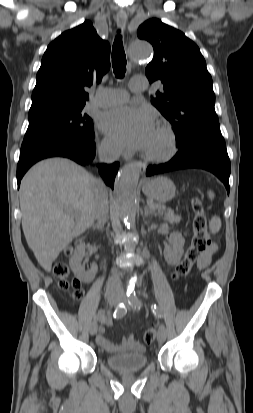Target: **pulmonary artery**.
Segmentation results:
<instances>
[{"mask_svg":"<svg viewBox=\"0 0 253 413\" xmlns=\"http://www.w3.org/2000/svg\"><path fill=\"white\" fill-rule=\"evenodd\" d=\"M130 87L133 92H139L145 89L144 85L136 84L134 81L131 83ZM127 98L128 93L125 90L109 88L98 91L95 95L93 103L99 107H109L123 103L127 100Z\"/></svg>","mask_w":253,"mask_h":413,"instance_id":"obj_1","label":"pulmonary artery"}]
</instances>
